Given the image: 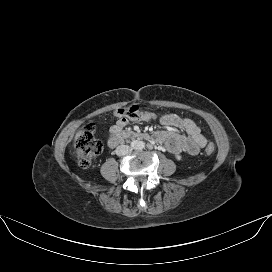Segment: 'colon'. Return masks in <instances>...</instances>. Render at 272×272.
Listing matches in <instances>:
<instances>
[{
    "instance_id": "obj_1",
    "label": "colon",
    "mask_w": 272,
    "mask_h": 272,
    "mask_svg": "<svg viewBox=\"0 0 272 272\" xmlns=\"http://www.w3.org/2000/svg\"><path fill=\"white\" fill-rule=\"evenodd\" d=\"M115 115L120 118L138 122H149L157 118V114L152 111H143L138 105L122 107L115 111ZM102 143L96 138L94 127L87 126L80 134L75 143V157L81 167H88L92 161L102 152ZM208 155L215 152V145L209 143L205 149Z\"/></svg>"
}]
</instances>
